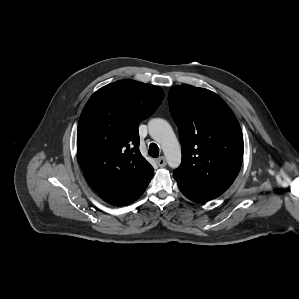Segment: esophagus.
I'll return each mask as SVG.
<instances>
[{"label": "esophagus", "instance_id": "esophagus-1", "mask_svg": "<svg viewBox=\"0 0 299 299\" xmlns=\"http://www.w3.org/2000/svg\"><path fill=\"white\" fill-rule=\"evenodd\" d=\"M156 162H157V164H158L159 167H165L166 166V160H165V158L163 156L160 157V158H158L156 160Z\"/></svg>", "mask_w": 299, "mask_h": 299}]
</instances>
